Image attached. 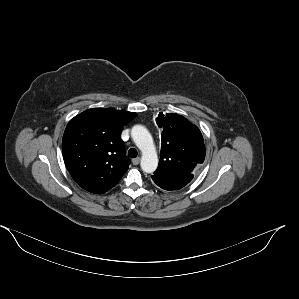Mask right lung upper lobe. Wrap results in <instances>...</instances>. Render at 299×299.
I'll return each instance as SVG.
<instances>
[{"mask_svg": "<svg viewBox=\"0 0 299 299\" xmlns=\"http://www.w3.org/2000/svg\"><path fill=\"white\" fill-rule=\"evenodd\" d=\"M135 117L134 112L92 108L69 121L62 152L80 187L103 194L119 182L131 163L120 135L123 126Z\"/></svg>", "mask_w": 299, "mask_h": 299, "instance_id": "cb5924a9", "label": "right lung upper lobe"}]
</instances>
